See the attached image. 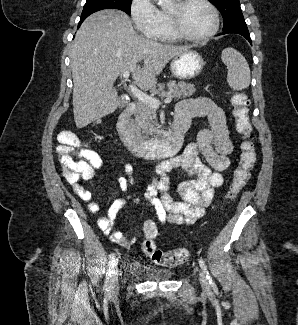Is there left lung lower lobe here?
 <instances>
[{"label":"left lung lower lobe","instance_id":"left-lung-lower-lobe-1","mask_svg":"<svg viewBox=\"0 0 298 325\" xmlns=\"http://www.w3.org/2000/svg\"><path fill=\"white\" fill-rule=\"evenodd\" d=\"M228 33L240 34V35L244 36L252 44L250 34H249V31L247 29V25L245 22L237 23V24H234L228 28L223 29V34H228Z\"/></svg>","mask_w":298,"mask_h":325}]
</instances>
